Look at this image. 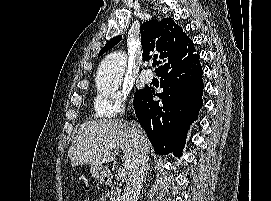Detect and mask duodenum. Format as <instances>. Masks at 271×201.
<instances>
[{"mask_svg": "<svg viewBox=\"0 0 271 201\" xmlns=\"http://www.w3.org/2000/svg\"><path fill=\"white\" fill-rule=\"evenodd\" d=\"M102 180L104 183L112 184L114 181L112 173L109 171L104 172Z\"/></svg>", "mask_w": 271, "mask_h": 201, "instance_id": "obj_1", "label": "duodenum"}]
</instances>
